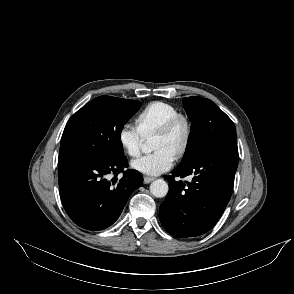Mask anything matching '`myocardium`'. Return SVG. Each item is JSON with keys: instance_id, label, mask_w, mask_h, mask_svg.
Instances as JSON below:
<instances>
[{"instance_id": "1", "label": "myocardium", "mask_w": 294, "mask_h": 294, "mask_svg": "<svg viewBox=\"0 0 294 294\" xmlns=\"http://www.w3.org/2000/svg\"><path fill=\"white\" fill-rule=\"evenodd\" d=\"M179 127L183 129L182 139L175 150V155L177 157L183 156L191 143L192 135H193V125L192 122L184 115H177L167 122H165L160 128L155 132L160 135H171L173 134Z\"/></svg>"}]
</instances>
